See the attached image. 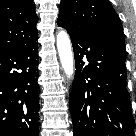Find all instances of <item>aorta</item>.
Listing matches in <instances>:
<instances>
[{
    "label": "aorta",
    "instance_id": "obj_1",
    "mask_svg": "<svg viewBox=\"0 0 136 136\" xmlns=\"http://www.w3.org/2000/svg\"><path fill=\"white\" fill-rule=\"evenodd\" d=\"M56 44L62 68L67 78H71L74 73V60L71 41L65 30H61L57 34Z\"/></svg>",
    "mask_w": 136,
    "mask_h": 136
}]
</instances>
